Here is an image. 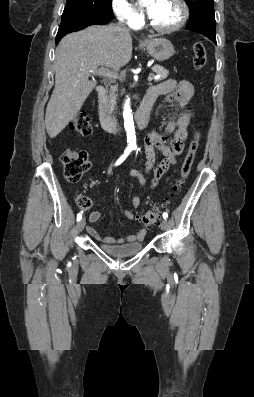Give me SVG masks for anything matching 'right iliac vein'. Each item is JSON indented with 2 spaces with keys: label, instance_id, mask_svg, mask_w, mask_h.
I'll return each instance as SVG.
<instances>
[{
  "label": "right iliac vein",
  "instance_id": "1",
  "mask_svg": "<svg viewBox=\"0 0 254 397\" xmlns=\"http://www.w3.org/2000/svg\"><path fill=\"white\" fill-rule=\"evenodd\" d=\"M85 223H86V221H85L84 218L79 221V223L77 225V229H78L79 232L83 231Z\"/></svg>",
  "mask_w": 254,
  "mask_h": 397
}]
</instances>
